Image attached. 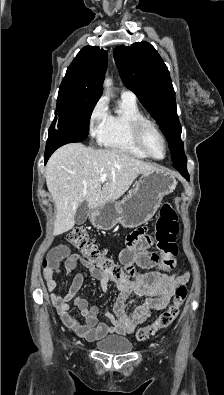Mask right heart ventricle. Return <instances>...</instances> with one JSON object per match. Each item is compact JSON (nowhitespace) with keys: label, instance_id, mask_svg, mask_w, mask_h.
Here are the masks:
<instances>
[{"label":"right heart ventricle","instance_id":"obj_1","mask_svg":"<svg viewBox=\"0 0 224 395\" xmlns=\"http://www.w3.org/2000/svg\"><path fill=\"white\" fill-rule=\"evenodd\" d=\"M140 118L144 116L136 101L121 97L118 110L108 114L104 130L98 138L99 143L135 158H148L135 144L132 136V124Z\"/></svg>","mask_w":224,"mask_h":395}]
</instances>
